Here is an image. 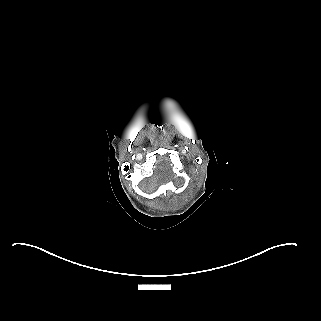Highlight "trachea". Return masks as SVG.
<instances>
[{"label":"trachea","instance_id":"trachea-1","mask_svg":"<svg viewBox=\"0 0 321 321\" xmlns=\"http://www.w3.org/2000/svg\"><path fill=\"white\" fill-rule=\"evenodd\" d=\"M162 125H163L162 120H160V119H159V120H157V122H156V127H155V128H156V130H158V131H159V130H161V129H162V127H163Z\"/></svg>","mask_w":321,"mask_h":321}]
</instances>
